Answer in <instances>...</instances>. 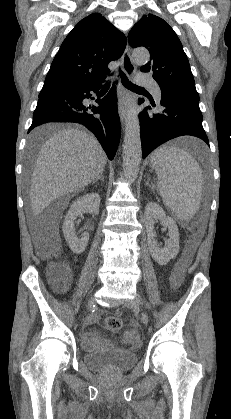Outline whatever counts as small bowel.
<instances>
[{"instance_id":"small-bowel-1","label":"small bowel","mask_w":231,"mask_h":419,"mask_svg":"<svg viewBox=\"0 0 231 419\" xmlns=\"http://www.w3.org/2000/svg\"><path fill=\"white\" fill-rule=\"evenodd\" d=\"M100 312H94L91 316L88 317L85 323V329L83 332V346L87 350H94L100 344L107 343L108 340L94 331L88 330L89 326H92L96 323Z\"/></svg>"}]
</instances>
